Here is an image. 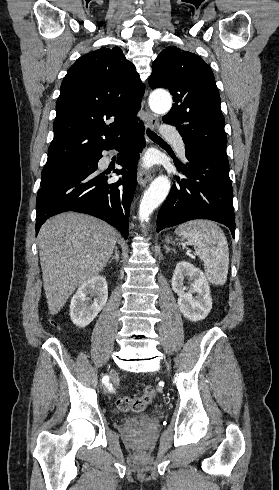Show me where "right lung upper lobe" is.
<instances>
[{"label": "right lung upper lobe", "mask_w": 279, "mask_h": 490, "mask_svg": "<svg viewBox=\"0 0 279 490\" xmlns=\"http://www.w3.org/2000/svg\"><path fill=\"white\" fill-rule=\"evenodd\" d=\"M144 89L119 47H102L80 57L61 85L46 164L90 158L143 127L136 113ZM108 120L114 122L107 125Z\"/></svg>", "instance_id": "obj_1"}]
</instances>
